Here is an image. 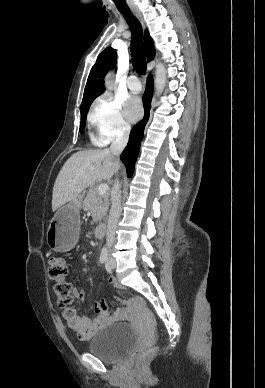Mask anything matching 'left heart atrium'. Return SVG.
I'll use <instances>...</instances> for the list:
<instances>
[{"mask_svg":"<svg viewBox=\"0 0 265 388\" xmlns=\"http://www.w3.org/2000/svg\"><path fill=\"white\" fill-rule=\"evenodd\" d=\"M125 112L127 117L132 121H136L141 117L142 105L137 96H133L127 101Z\"/></svg>","mask_w":265,"mask_h":388,"instance_id":"left-heart-atrium-1","label":"left heart atrium"}]
</instances>
